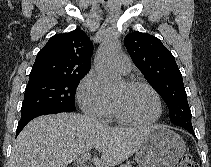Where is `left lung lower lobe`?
<instances>
[{
	"label": "left lung lower lobe",
	"instance_id": "left-lung-lower-lobe-1",
	"mask_svg": "<svg viewBox=\"0 0 211 167\" xmlns=\"http://www.w3.org/2000/svg\"><path fill=\"white\" fill-rule=\"evenodd\" d=\"M186 129L189 133H191L193 136H195V133L193 131V127H187V128H184Z\"/></svg>",
	"mask_w": 211,
	"mask_h": 167
}]
</instances>
